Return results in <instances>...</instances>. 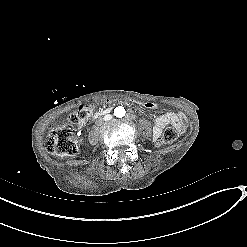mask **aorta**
I'll use <instances>...</instances> for the list:
<instances>
[{
	"instance_id": "762f6f07",
	"label": "aorta",
	"mask_w": 247,
	"mask_h": 247,
	"mask_svg": "<svg viewBox=\"0 0 247 247\" xmlns=\"http://www.w3.org/2000/svg\"><path fill=\"white\" fill-rule=\"evenodd\" d=\"M125 113H126V111H125L124 107H122V106H118L114 109V115L118 118L124 117Z\"/></svg>"
}]
</instances>
